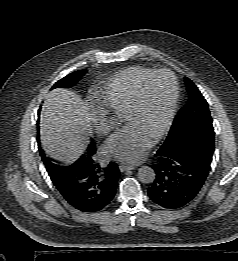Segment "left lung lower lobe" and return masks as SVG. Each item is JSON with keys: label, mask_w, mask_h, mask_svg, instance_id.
I'll list each match as a JSON object with an SVG mask.
<instances>
[{"label": "left lung lower lobe", "mask_w": 238, "mask_h": 261, "mask_svg": "<svg viewBox=\"0 0 238 261\" xmlns=\"http://www.w3.org/2000/svg\"><path fill=\"white\" fill-rule=\"evenodd\" d=\"M214 152V132H202L185 144L157 152L153 185L148 188L150 199L167 209L189 203L204 184Z\"/></svg>", "instance_id": "obj_1"}]
</instances>
